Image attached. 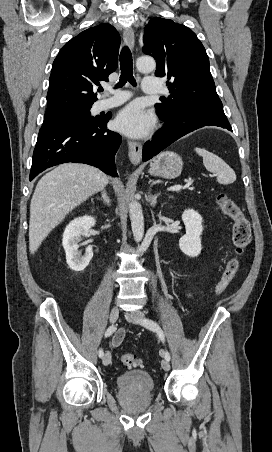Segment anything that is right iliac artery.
I'll return each instance as SVG.
<instances>
[{"mask_svg": "<svg viewBox=\"0 0 272 452\" xmlns=\"http://www.w3.org/2000/svg\"><path fill=\"white\" fill-rule=\"evenodd\" d=\"M115 329H116L115 326H113V325L110 326V327L106 330V332H105V337L111 336V335L113 334V332L115 331ZM98 355H99L100 358L103 357L104 352H103L102 349L99 350Z\"/></svg>", "mask_w": 272, "mask_h": 452, "instance_id": "right-iliac-artery-1", "label": "right iliac artery"}]
</instances>
